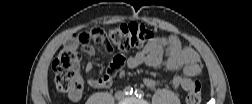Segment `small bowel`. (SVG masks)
Returning <instances> with one entry per match:
<instances>
[{"label":"small bowel","instance_id":"1","mask_svg":"<svg viewBox=\"0 0 252 104\" xmlns=\"http://www.w3.org/2000/svg\"><path fill=\"white\" fill-rule=\"evenodd\" d=\"M164 55H166V59H164ZM115 59L116 56L112 58L111 64ZM125 63L131 69L141 64L151 67L163 66L165 69L171 71L182 69V74L174 76L172 80V86L176 90H189L193 78L201 71L199 55L192 48H182L180 40L174 35L153 37L141 50L127 55ZM93 69L94 64L92 61H89L86 64L88 84L93 88H109L112 85L113 76L107 73L102 77H92ZM142 82L149 88L158 85V80L154 78H144ZM81 95L82 93L76 96L68 94V97L71 101H79Z\"/></svg>","mask_w":252,"mask_h":104}]
</instances>
